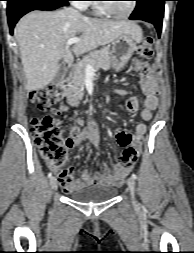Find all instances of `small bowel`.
Returning a JSON list of instances; mask_svg holds the SVG:
<instances>
[{
	"label": "small bowel",
	"mask_w": 194,
	"mask_h": 253,
	"mask_svg": "<svg viewBox=\"0 0 194 253\" xmlns=\"http://www.w3.org/2000/svg\"><path fill=\"white\" fill-rule=\"evenodd\" d=\"M140 83L142 91L145 95L144 98L138 100L134 97H127V104L123 109L129 113L140 112L143 121L136 125L134 133L128 132L124 129H117L115 134L116 141L120 146L133 148L137 151L138 155L142 149L143 137L148 131L146 121L151 119L152 112L158 107L159 104V99L157 96V84L146 69L140 74ZM85 140H90L94 147L98 149L99 129L95 121L90 123L88 129L79 130L76 135H72L71 137L67 138L66 147L69 149H74ZM48 166L55 172L62 190L66 193H72L80 188L96 183L119 185L123 182L124 178L133 168L129 167L121 170L118 173H112L110 169L104 165L102 172H96L92 175L89 172L84 171L80 178H75L72 167L60 169L50 163H48Z\"/></svg>",
	"instance_id": "small-bowel-1"
}]
</instances>
